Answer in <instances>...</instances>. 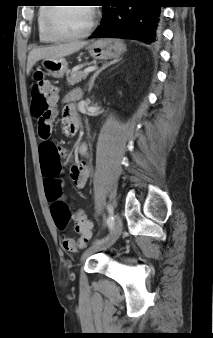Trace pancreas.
<instances>
[{
    "label": "pancreas",
    "instance_id": "obj_1",
    "mask_svg": "<svg viewBox=\"0 0 213 338\" xmlns=\"http://www.w3.org/2000/svg\"><path fill=\"white\" fill-rule=\"evenodd\" d=\"M87 75L88 73H84L82 71L72 72L70 75L67 76V83L68 85L74 86L82 79H85Z\"/></svg>",
    "mask_w": 213,
    "mask_h": 338
}]
</instances>
